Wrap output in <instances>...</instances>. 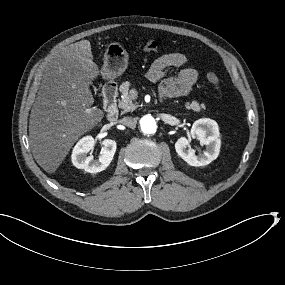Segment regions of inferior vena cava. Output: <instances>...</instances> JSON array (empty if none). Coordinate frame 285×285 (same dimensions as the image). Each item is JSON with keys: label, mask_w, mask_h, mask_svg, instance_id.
Wrapping results in <instances>:
<instances>
[{"label": "inferior vena cava", "mask_w": 285, "mask_h": 285, "mask_svg": "<svg viewBox=\"0 0 285 285\" xmlns=\"http://www.w3.org/2000/svg\"><path fill=\"white\" fill-rule=\"evenodd\" d=\"M121 123L130 127V128H134L136 126L137 120L134 117H124L121 120Z\"/></svg>", "instance_id": "inferior-vena-cava-1"}]
</instances>
